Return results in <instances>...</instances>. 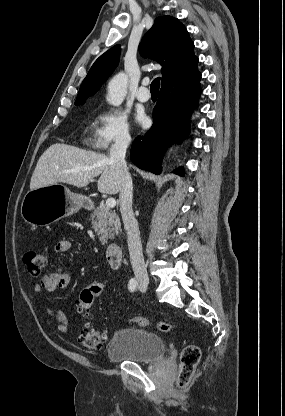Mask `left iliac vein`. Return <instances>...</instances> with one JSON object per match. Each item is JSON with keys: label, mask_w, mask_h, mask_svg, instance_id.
<instances>
[{"label": "left iliac vein", "mask_w": 285, "mask_h": 416, "mask_svg": "<svg viewBox=\"0 0 285 416\" xmlns=\"http://www.w3.org/2000/svg\"><path fill=\"white\" fill-rule=\"evenodd\" d=\"M139 290H140L141 292H145L147 289H146V287H143V286H141V285H140Z\"/></svg>", "instance_id": "left-iliac-vein-1"}]
</instances>
